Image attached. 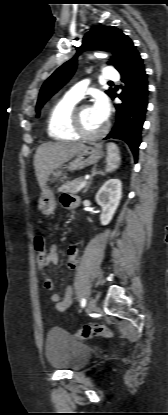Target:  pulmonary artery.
<instances>
[{
    "mask_svg": "<svg viewBox=\"0 0 168 415\" xmlns=\"http://www.w3.org/2000/svg\"><path fill=\"white\" fill-rule=\"evenodd\" d=\"M103 76L106 80H109V81H118L119 80L118 72L112 67L104 68ZM87 85H88V80H83L81 82H78L77 84L72 86L67 91L66 95L68 97H71V98L76 99V100L79 101L83 97L84 92L87 88Z\"/></svg>",
    "mask_w": 168,
    "mask_h": 415,
    "instance_id": "pulmonary-artery-1",
    "label": "pulmonary artery"
}]
</instances>
